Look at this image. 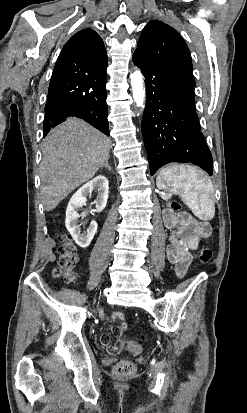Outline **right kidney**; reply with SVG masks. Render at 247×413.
Returning <instances> with one entry per match:
<instances>
[{
    "label": "right kidney",
    "mask_w": 247,
    "mask_h": 413,
    "mask_svg": "<svg viewBox=\"0 0 247 413\" xmlns=\"http://www.w3.org/2000/svg\"><path fill=\"white\" fill-rule=\"evenodd\" d=\"M92 190H96L97 192L94 200L96 207L95 213L103 211L106 207L109 190L108 178L103 176V174H98V176H95V178L83 184L81 188H78L73 196H71L66 209L65 227L70 235H72L75 243H77L79 247H82V249L89 247L98 227L96 221H91L87 231L81 233L80 225H78V219L81 217L78 211L80 207H83V204H86L87 196L91 194Z\"/></svg>",
    "instance_id": "ca27d5eb"
}]
</instances>
